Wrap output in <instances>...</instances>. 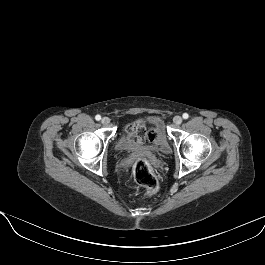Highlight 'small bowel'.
Masks as SVG:
<instances>
[{"label":"small bowel","instance_id":"obj_1","mask_svg":"<svg viewBox=\"0 0 265 265\" xmlns=\"http://www.w3.org/2000/svg\"><path fill=\"white\" fill-rule=\"evenodd\" d=\"M128 130V137L132 140H135L137 142H140L142 140L141 135H139V133L137 132V129L135 126H129L127 128Z\"/></svg>","mask_w":265,"mask_h":265}]
</instances>
